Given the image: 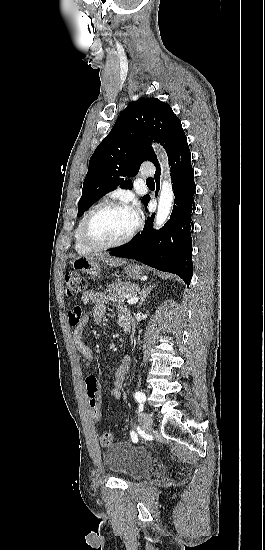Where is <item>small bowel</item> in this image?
I'll return each mask as SVG.
<instances>
[{
    "mask_svg": "<svg viewBox=\"0 0 265 550\" xmlns=\"http://www.w3.org/2000/svg\"><path fill=\"white\" fill-rule=\"evenodd\" d=\"M82 302L93 304L92 313L90 316H81L79 315V313H75L76 315L73 316V319L76 320L75 325H73V339L76 349L84 357V359L86 361H92L95 356V351L91 346H88L85 342L82 341L83 330L84 327L88 324H91L92 326H97L101 322L108 309V299L103 292L90 290L84 293V295L82 296ZM116 311L118 314L120 327L125 332H129L131 328L130 311L124 306H117ZM129 365L130 358L128 356H124L120 359L119 365L114 374L112 387L110 388V394L114 398L121 397L122 386L128 372Z\"/></svg>",
    "mask_w": 265,
    "mask_h": 550,
    "instance_id": "1",
    "label": "small bowel"
}]
</instances>
